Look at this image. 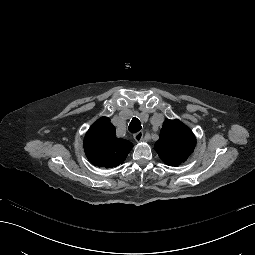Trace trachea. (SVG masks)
Listing matches in <instances>:
<instances>
[{"label": "trachea", "instance_id": "3493384b", "mask_svg": "<svg viewBox=\"0 0 255 255\" xmlns=\"http://www.w3.org/2000/svg\"><path fill=\"white\" fill-rule=\"evenodd\" d=\"M141 122L138 118L134 117L128 127V130L131 133H138L141 130Z\"/></svg>", "mask_w": 255, "mask_h": 255}]
</instances>
